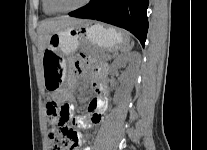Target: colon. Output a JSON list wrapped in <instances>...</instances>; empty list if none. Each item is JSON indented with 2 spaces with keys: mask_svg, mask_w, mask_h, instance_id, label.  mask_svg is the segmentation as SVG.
<instances>
[{
  "mask_svg": "<svg viewBox=\"0 0 207 150\" xmlns=\"http://www.w3.org/2000/svg\"><path fill=\"white\" fill-rule=\"evenodd\" d=\"M68 102H61L58 95L52 96L47 102V113L51 126L48 130V139L51 150H77L78 132L68 123L70 114Z\"/></svg>",
  "mask_w": 207,
  "mask_h": 150,
  "instance_id": "colon-1",
  "label": "colon"
}]
</instances>
